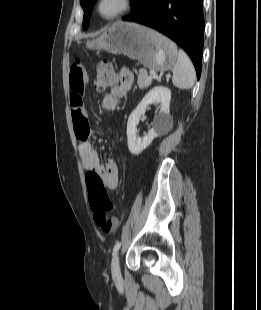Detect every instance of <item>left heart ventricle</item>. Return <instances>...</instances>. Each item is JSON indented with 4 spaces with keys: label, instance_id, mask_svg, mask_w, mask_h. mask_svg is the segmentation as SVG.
Wrapping results in <instances>:
<instances>
[{
    "label": "left heart ventricle",
    "instance_id": "1",
    "mask_svg": "<svg viewBox=\"0 0 261 310\" xmlns=\"http://www.w3.org/2000/svg\"><path fill=\"white\" fill-rule=\"evenodd\" d=\"M118 8V0H105L102 4V12L105 14H111Z\"/></svg>",
    "mask_w": 261,
    "mask_h": 310
}]
</instances>
